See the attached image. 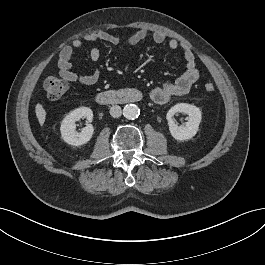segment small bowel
Masks as SVG:
<instances>
[{
    "mask_svg": "<svg viewBox=\"0 0 265 265\" xmlns=\"http://www.w3.org/2000/svg\"><path fill=\"white\" fill-rule=\"evenodd\" d=\"M149 36L146 29H139L132 34L125 41H121L120 37L106 32L98 31L83 37L87 42H106L112 45L119 46L121 53L127 47H133ZM151 40L157 44L167 42L168 47L173 51H180L185 61V71L178 78L173 81L165 82L152 89L150 96L151 99L159 105L169 103L174 97L187 94L193 84L199 79L200 72L196 66L195 56L191 48L187 44H182L176 39H167L166 35L162 32H154L150 35ZM83 40L75 39L70 45L65 46L58 59V74L64 80L69 82L78 83L85 86L96 84L100 79V71L97 67V63L101 58V51L99 47L93 46L89 51V58L92 63V72L89 74H79L73 70L72 57L76 50L83 47Z\"/></svg>",
    "mask_w": 265,
    "mask_h": 265,
    "instance_id": "obj_1",
    "label": "small bowel"
}]
</instances>
